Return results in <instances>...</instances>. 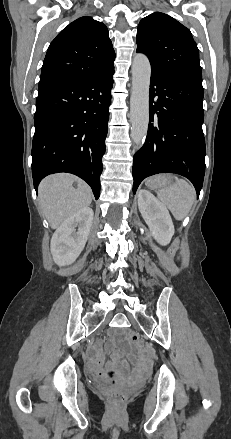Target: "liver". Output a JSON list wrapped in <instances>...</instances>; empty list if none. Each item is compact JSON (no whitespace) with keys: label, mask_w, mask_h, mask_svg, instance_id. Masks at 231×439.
Segmentation results:
<instances>
[{"label":"liver","mask_w":231,"mask_h":439,"mask_svg":"<svg viewBox=\"0 0 231 439\" xmlns=\"http://www.w3.org/2000/svg\"><path fill=\"white\" fill-rule=\"evenodd\" d=\"M77 183V188L73 183ZM91 188L71 174H55L44 178L38 188L39 204L52 229H57L77 211L92 201Z\"/></svg>","instance_id":"liver-1"}]
</instances>
